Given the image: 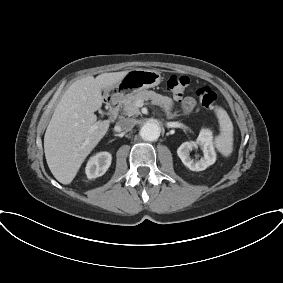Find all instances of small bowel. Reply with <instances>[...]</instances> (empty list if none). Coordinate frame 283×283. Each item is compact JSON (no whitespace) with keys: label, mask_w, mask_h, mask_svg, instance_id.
Listing matches in <instances>:
<instances>
[{"label":"small bowel","mask_w":283,"mask_h":283,"mask_svg":"<svg viewBox=\"0 0 283 283\" xmlns=\"http://www.w3.org/2000/svg\"><path fill=\"white\" fill-rule=\"evenodd\" d=\"M175 98L177 100H181V105L185 112H191L196 105L194 98L190 96H186L184 98H181V97H175Z\"/></svg>","instance_id":"c3829d8e"}]
</instances>
